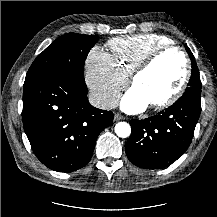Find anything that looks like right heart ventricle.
I'll use <instances>...</instances> for the list:
<instances>
[{"label":"right heart ventricle","mask_w":217,"mask_h":217,"mask_svg":"<svg viewBox=\"0 0 217 217\" xmlns=\"http://www.w3.org/2000/svg\"><path fill=\"white\" fill-rule=\"evenodd\" d=\"M172 44L167 36L149 33L116 37L108 41L113 65L127 78L156 49Z\"/></svg>","instance_id":"right-heart-ventricle-1"}]
</instances>
